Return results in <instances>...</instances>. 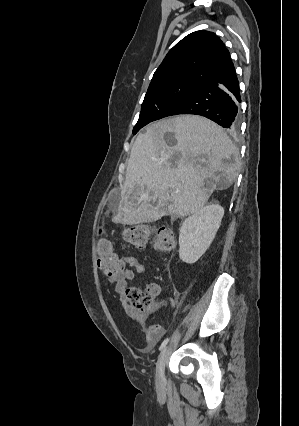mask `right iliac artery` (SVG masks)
I'll list each match as a JSON object with an SVG mask.
<instances>
[{"instance_id":"right-iliac-artery-1","label":"right iliac artery","mask_w":299,"mask_h":426,"mask_svg":"<svg viewBox=\"0 0 299 426\" xmlns=\"http://www.w3.org/2000/svg\"><path fill=\"white\" fill-rule=\"evenodd\" d=\"M169 338H166L160 345L159 350H162L168 343Z\"/></svg>"}]
</instances>
